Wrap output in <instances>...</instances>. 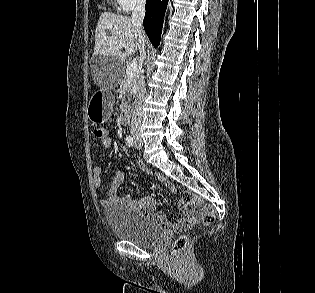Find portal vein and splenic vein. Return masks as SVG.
Returning a JSON list of instances; mask_svg holds the SVG:
<instances>
[{
    "label": "portal vein and splenic vein",
    "mask_w": 315,
    "mask_h": 293,
    "mask_svg": "<svg viewBox=\"0 0 315 293\" xmlns=\"http://www.w3.org/2000/svg\"><path fill=\"white\" fill-rule=\"evenodd\" d=\"M137 69H138V64H137V62L132 61V62L127 66L126 75H127V76H132L134 73H136Z\"/></svg>",
    "instance_id": "18ae733b"
}]
</instances>
